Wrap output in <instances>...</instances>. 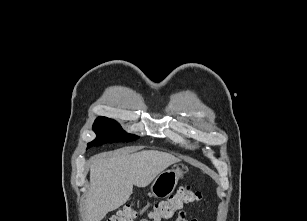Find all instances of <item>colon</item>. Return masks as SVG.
<instances>
[{
    "label": "colon",
    "mask_w": 307,
    "mask_h": 221,
    "mask_svg": "<svg viewBox=\"0 0 307 221\" xmlns=\"http://www.w3.org/2000/svg\"><path fill=\"white\" fill-rule=\"evenodd\" d=\"M202 199L199 191L191 189L189 186L180 187L177 192L168 199L153 202L146 212L148 219L161 221L172 218L176 212L183 209L184 205ZM140 216V212L133 205H125L115 215L106 221H135ZM140 221H147L142 219Z\"/></svg>",
    "instance_id": "5ec220e1"
}]
</instances>
